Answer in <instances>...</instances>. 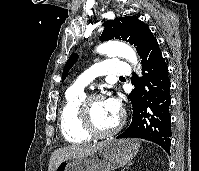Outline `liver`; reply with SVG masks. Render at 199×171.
<instances>
[{"label":"liver","mask_w":199,"mask_h":171,"mask_svg":"<svg viewBox=\"0 0 199 171\" xmlns=\"http://www.w3.org/2000/svg\"><path fill=\"white\" fill-rule=\"evenodd\" d=\"M104 142L88 145H71L55 150L50 158L48 171H54L58 164L64 160L72 159L78 156H83L93 152L103 145Z\"/></svg>","instance_id":"1"}]
</instances>
